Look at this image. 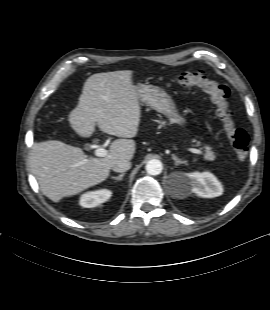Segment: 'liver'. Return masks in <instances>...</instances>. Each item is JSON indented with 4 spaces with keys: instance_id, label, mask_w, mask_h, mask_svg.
Instances as JSON below:
<instances>
[{
    "instance_id": "6515ba94",
    "label": "liver",
    "mask_w": 270,
    "mask_h": 310,
    "mask_svg": "<svg viewBox=\"0 0 270 310\" xmlns=\"http://www.w3.org/2000/svg\"><path fill=\"white\" fill-rule=\"evenodd\" d=\"M133 71H114L90 76L76 108L68 116L72 129L88 138L99 129L114 140L104 158L88 157L82 149L58 140L33 145L30 164L42 193L53 202L69 197L107 179L112 164L131 160L141 118Z\"/></svg>"
}]
</instances>
